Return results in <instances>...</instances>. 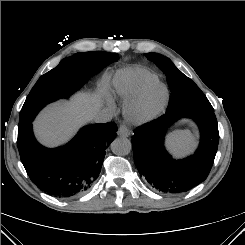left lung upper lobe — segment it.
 <instances>
[{
	"instance_id": "left-lung-upper-lobe-1",
	"label": "left lung upper lobe",
	"mask_w": 245,
	"mask_h": 245,
	"mask_svg": "<svg viewBox=\"0 0 245 245\" xmlns=\"http://www.w3.org/2000/svg\"><path fill=\"white\" fill-rule=\"evenodd\" d=\"M146 57L148 60L155 62L166 74L168 86L172 95L168 108L169 111L186 106L213 109L199 87L176 68L169 58L158 53H147Z\"/></svg>"
}]
</instances>
